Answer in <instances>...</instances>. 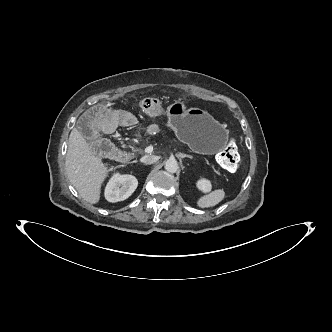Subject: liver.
Segmentation results:
<instances>
[{"instance_id":"obj_1","label":"liver","mask_w":332,"mask_h":332,"mask_svg":"<svg viewBox=\"0 0 332 332\" xmlns=\"http://www.w3.org/2000/svg\"><path fill=\"white\" fill-rule=\"evenodd\" d=\"M65 167L69 181L80 196L91 204L99 202L101 186L109 170L76 128L69 136Z\"/></svg>"}]
</instances>
